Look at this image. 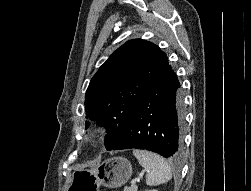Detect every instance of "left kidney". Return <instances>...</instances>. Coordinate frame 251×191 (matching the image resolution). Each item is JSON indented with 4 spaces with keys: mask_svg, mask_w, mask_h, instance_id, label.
Returning a JSON list of instances; mask_svg holds the SVG:
<instances>
[{
    "mask_svg": "<svg viewBox=\"0 0 251 191\" xmlns=\"http://www.w3.org/2000/svg\"><path fill=\"white\" fill-rule=\"evenodd\" d=\"M148 191H158V189H148Z\"/></svg>",
    "mask_w": 251,
    "mask_h": 191,
    "instance_id": "1",
    "label": "left kidney"
}]
</instances>
